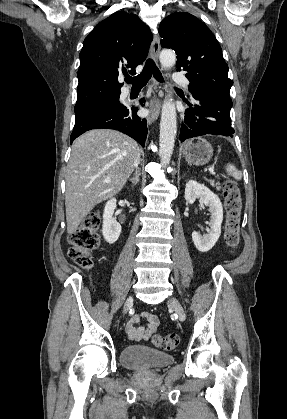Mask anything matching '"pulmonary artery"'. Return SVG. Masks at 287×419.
I'll list each match as a JSON object with an SVG mask.
<instances>
[{
    "mask_svg": "<svg viewBox=\"0 0 287 419\" xmlns=\"http://www.w3.org/2000/svg\"><path fill=\"white\" fill-rule=\"evenodd\" d=\"M172 79H173L174 83H176V84L182 85L186 88H188V86H189L188 79L181 73H178V72L174 73L173 76H172ZM127 94H128V91L125 92V95H127Z\"/></svg>",
    "mask_w": 287,
    "mask_h": 419,
    "instance_id": "pulmonary-artery-1",
    "label": "pulmonary artery"
}]
</instances>
